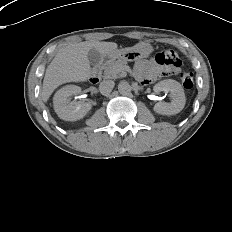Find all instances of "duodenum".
<instances>
[{"mask_svg":"<svg viewBox=\"0 0 232 232\" xmlns=\"http://www.w3.org/2000/svg\"><path fill=\"white\" fill-rule=\"evenodd\" d=\"M99 79H100V68H99V65H95L91 69L90 81L92 83H97Z\"/></svg>","mask_w":232,"mask_h":232,"instance_id":"1","label":"duodenum"}]
</instances>
